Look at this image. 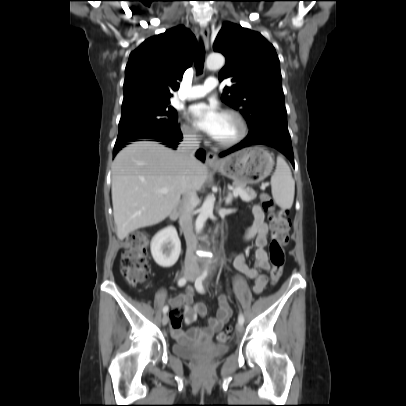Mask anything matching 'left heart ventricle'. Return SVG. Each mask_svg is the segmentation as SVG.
<instances>
[{"mask_svg":"<svg viewBox=\"0 0 406 406\" xmlns=\"http://www.w3.org/2000/svg\"><path fill=\"white\" fill-rule=\"evenodd\" d=\"M238 132L239 126L236 120L229 115L222 114L221 123L215 135V139L227 141L234 138Z\"/></svg>","mask_w":406,"mask_h":406,"instance_id":"obj_1","label":"left heart ventricle"}]
</instances>
